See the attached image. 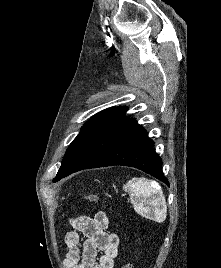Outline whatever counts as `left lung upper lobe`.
<instances>
[{
  "label": "left lung upper lobe",
  "instance_id": "5c2ea615",
  "mask_svg": "<svg viewBox=\"0 0 221 268\" xmlns=\"http://www.w3.org/2000/svg\"><path fill=\"white\" fill-rule=\"evenodd\" d=\"M127 107H113L93 116L83 125L80 133L68 147L54 182L77 159L83 150L110 124L125 115Z\"/></svg>",
  "mask_w": 221,
  "mask_h": 268
}]
</instances>
